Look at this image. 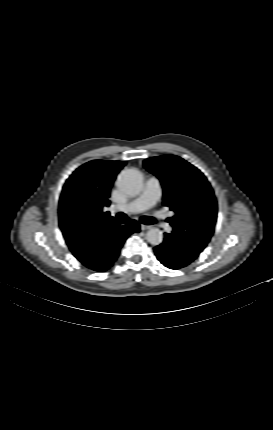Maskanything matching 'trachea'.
Returning <instances> with one entry per match:
<instances>
[{"mask_svg":"<svg viewBox=\"0 0 273 430\" xmlns=\"http://www.w3.org/2000/svg\"><path fill=\"white\" fill-rule=\"evenodd\" d=\"M116 220L119 223L124 224V223L127 222L128 217L124 213H118L116 215ZM140 222L143 223V224H145V225H151V224H155L156 220H155V218L150 217V216H143V217L140 218Z\"/></svg>","mask_w":273,"mask_h":430,"instance_id":"3493384b","label":"trachea"}]
</instances>
